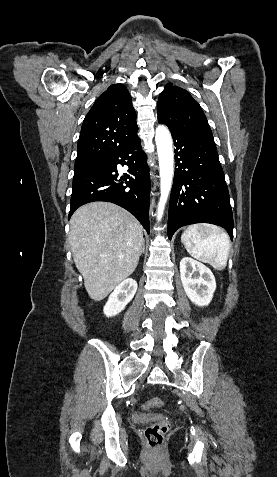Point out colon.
<instances>
[{"instance_id": "colon-1", "label": "colon", "mask_w": 277, "mask_h": 477, "mask_svg": "<svg viewBox=\"0 0 277 477\" xmlns=\"http://www.w3.org/2000/svg\"><path fill=\"white\" fill-rule=\"evenodd\" d=\"M163 405V401L160 398H153L149 400L144 407L145 408H159ZM170 427L169 422L162 421L157 422L145 429L144 436L148 446L152 450H158L164 441V437Z\"/></svg>"}]
</instances>
